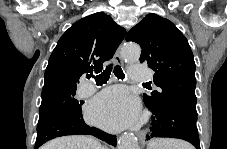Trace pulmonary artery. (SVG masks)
<instances>
[{"instance_id": "e3ab8cb5", "label": "pulmonary artery", "mask_w": 227, "mask_h": 149, "mask_svg": "<svg viewBox=\"0 0 227 149\" xmlns=\"http://www.w3.org/2000/svg\"><path fill=\"white\" fill-rule=\"evenodd\" d=\"M131 79L137 82H147L151 79V71L149 68L143 65H131L130 66ZM94 90L93 85H88L84 93L89 94Z\"/></svg>"}]
</instances>
